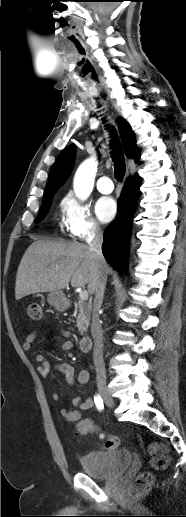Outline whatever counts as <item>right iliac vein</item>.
<instances>
[{
	"mask_svg": "<svg viewBox=\"0 0 186 517\" xmlns=\"http://www.w3.org/2000/svg\"><path fill=\"white\" fill-rule=\"evenodd\" d=\"M98 391H99V394L102 397L104 403L108 407H113L114 406V400H113V397L111 396V394L109 393L108 389L104 385L99 384Z\"/></svg>",
	"mask_w": 186,
	"mask_h": 517,
	"instance_id": "1",
	"label": "right iliac vein"
}]
</instances>
